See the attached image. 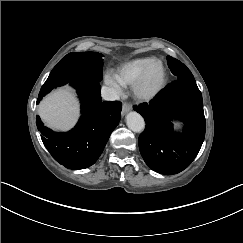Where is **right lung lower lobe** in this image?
Wrapping results in <instances>:
<instances>
[{
	"instance_id": "obj_1",
	"label": "right lung lower lobe",
	"mask_w": 243,
	"mask_h": 243,
	"mask_svg": "<svg viewBox=\"0 0 243 243\" xmlns=\"http://www.w3.org/2000/svg\"><path fill=\"white\" fill-rule=\"evenodd\" d=\"M81 101V117L67 133L53 132L36 116L42 141L52 157L69 169H84L101 155L112 131L119 124L122 104L102 102L99 81L80 79L72 82Z\"/></svg>"
}]
</instances>
